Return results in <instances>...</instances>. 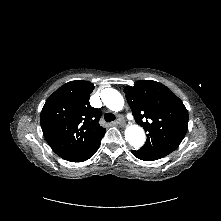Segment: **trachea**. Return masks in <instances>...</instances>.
<instances>
[{"instance_id":"1","label":"trachea","mask_w":221,"mask_h":221,"mask_svg":"<svg viewBox=\"0 0 221 221\" xmlns=\"http://www.w3.org/2000/svg\"><path fill=\"white\" fill-rule=\"evenodd\" d=\"M104 119H105L106 122H112V121H114L116 118H115V115H114V114H112V113H106V114L104 115Z\"/></svg>"}]
</instances>
